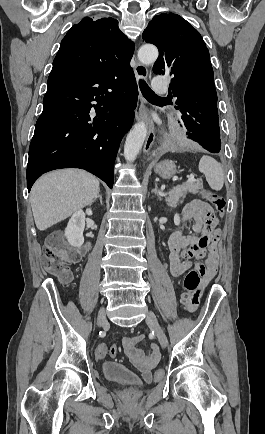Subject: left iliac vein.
<instances>
[{
	"mask_svg": "<svg viewBox=\"0 0 265 434\" xmlns=\"http://www.w3.org/2000/svg\"><path fill=\"white\" fill-rule=\"evenodd\" d=\"M146 323L150 328L156 333L157 339L162 347H166L168 344V339L166 334L164 333L163 329L158 323V320L151 310L147 311L146 314Z\"/></svg>",
	"mask_w": 265,
	"mask_h": 434,
	"instance_id": "obj_1",
	"label": "left iliac vein"
}]
</instances>
